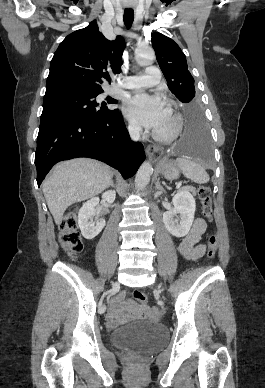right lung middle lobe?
Instances as JSON below:
<instances>
[{"label":"right lung middle lobe","instance_id":"1","mask_svg":"<svg viewBox=\"0 0 265 388\" xmlns=\"http://www.w3.org/2000/svg\"><path fill=\"white\" fill-rule=\"evenodd\" d=\"M102 92H69L44 97L41 122L65 116L107 118L118 110H110L106 103L99 104L95 98ZM107 102L117 103L108 98Z\"/></svg>","mask_w":265,"mask_h":388}]
</instances>
